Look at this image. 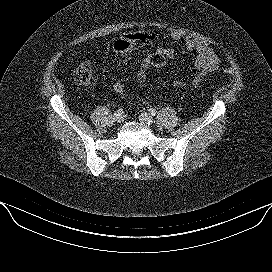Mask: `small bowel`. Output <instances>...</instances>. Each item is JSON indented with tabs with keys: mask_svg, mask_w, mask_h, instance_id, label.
<instances>
[{
	"mask_svg": "<svg viewBox=\"0 0 272 272\" xmlns=\"http://www.w3.org/2000/svg\"><path fill=\"white\" fill-rule=\"evenodd\" d=\"M133 37L134 33L122 35L114 42L113 50L118 54L125 55L132 52V50L136 49L137 47H140ZM182 38L184 40L185 47L190 51H195L196 53L194 67L197 71V75L190 83L182 81L174 82V87L180 90H193L199 87L209 73L218 70L221 61L219 56L209 44L192 36L183 37L178 32L171 34V39L174 41H179ZM155 52L164 55L167 59H172L175 55V51L172 48L158 47Z\"/></svg>",
	"mask_w": 272,
	"mask_h": 272,
	"instance_id": "c3829d8e",
	"label": "small bowel"
}]
</instances>
